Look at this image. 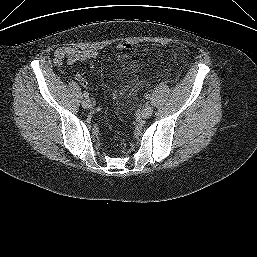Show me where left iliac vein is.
I'll return each mask as SVG.
<instances>
[{"label": "left iliac vein", "mask_w": 257, "mask_h": 257, "mask_svg": "<svg viewBox=\"0 0 257 257\" xmlns=\"http://www.w3.org/2000/svg\"><path fill=\"white\" fill-rule=\"evenodd\" d=\"M152 114H153V108L149 105L145 106V108L141 112V116L144 119L150 118Z\"/></svg>", "instance_id": "4c4485c4"}]
</instances>
